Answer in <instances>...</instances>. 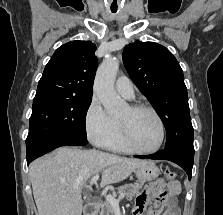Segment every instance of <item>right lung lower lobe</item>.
I'll return each mask as SVG.
<instances>
[{"label":"right lung lower lobe","instance_id":"1","mask_svg":"<svg viewBox=\"0 0 223 215\" xmlns=\"http://www.w3.org/2000/svg\"><path fill=\"white\" fill-rule=\"evenodd\" d=\"M88 143L87 140L77 138H59L41 141L35 144H31L27 147L26 160L29 165L36 158L58 148L61 146H84Z\"/></svg>","mask_w":223,"mask_h":215}]
</instances>
